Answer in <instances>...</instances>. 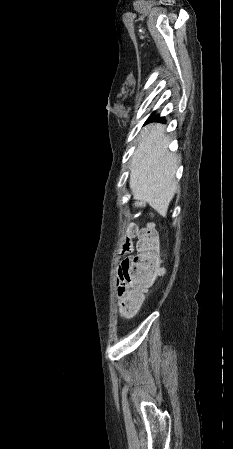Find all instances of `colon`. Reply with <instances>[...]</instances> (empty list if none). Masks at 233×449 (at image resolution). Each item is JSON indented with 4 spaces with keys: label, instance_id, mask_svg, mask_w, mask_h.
I'll list each match as a JSON object with an SVG mask.
<instances>
[{
    "label": "colon",
    "instance_id": "obj_1",
    "mask_svg": "<svg viewBox=\"0 0 233 449\" xmlns=\"http://www.w3.org/2000/svg\"><path fill=\"white\" fill-rule=\"evenodd\" d=\"M134 233L132 229L130 235ZM130 237L123 244V252L130 250ZM138 254L126 257L121 267L127 272L130 284V295L123 303L126 315L133 314L139 307L142 296L151 288L163 269L160 265L161 241L158 232L152 227L142 229L137 243Z\"/></svg>",
    "mask_w": 233,
    "mask_h": 449
}]
</instances>
